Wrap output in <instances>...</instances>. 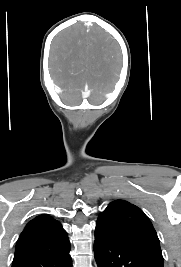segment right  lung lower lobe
Returning <instances> with one entry per match:
<instances>
[{"mask_svg":"<svg viewBox=\"0 0 181 267\" xmlns=\"http://www.w3.org/2000/svg\"><path fill=\"white\" fill-rule=\"evenodd\" d=\"M70 248L53 254L14 257L12 267H72Z\"/></svg>","mask_w":181,"mask_h":267,"instance_id":"1","label":"right lung lower lobe"}]
</instances>
